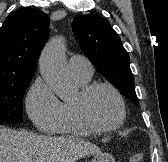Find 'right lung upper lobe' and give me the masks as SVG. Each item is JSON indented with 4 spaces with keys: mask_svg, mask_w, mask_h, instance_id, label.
Returning <instances> with one entry per match:
<instances>
[{
    "mask_svg": "<svg viewBox=\"0 0 168 162\" xmlns=\"http://www.w3.org/2000/svg\"><path fill=\"white\" fill-rule=\"evenodd\" d=\"M48 26L49 16L38 9L24 8L8 15L0 27V82L35 74Z\"/></svg>",
    "mask_w": 168,
    "mask_h": 162,
    "instance_id": "1",
    "label": "right lung upper lobe"
}]
</instances>
